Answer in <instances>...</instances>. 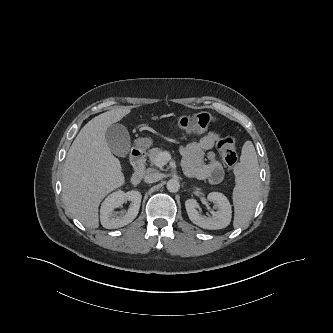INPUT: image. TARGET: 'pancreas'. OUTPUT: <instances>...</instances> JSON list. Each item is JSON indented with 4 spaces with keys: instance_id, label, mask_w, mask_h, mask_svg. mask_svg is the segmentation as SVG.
I'll use <instances>...</instances> for the list:
<instances>
[{
    "instance_id": "cf45deb5",
    "label": "pancreas",
    "mask_w": 333,
    "mask_h": 333,
    "mask_svg": "<svg viewBox=\"0 0 333 333\" xmlns=\"http://www.w3.org/2000/svg\"><path fill=\"white\" fill-rule=\"evenodd\" d=\"M162 152L159 148H152L148 151V157L152 165H156V159Z\"/></svg>"
}]
</instances>
